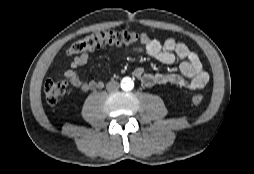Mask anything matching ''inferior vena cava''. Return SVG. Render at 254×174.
Instances as JSON below:
<instances>
[{
  "mask_svg": "<svg viewBox=\"0 0 254 174\" xmlns=\"http://www.w3.org/2000/svg\"><path fill=\"white\" fill-rule=\"evenodd\" d=\"M108 91H115L119 89V83L117 81H110L106 85Z\"/></svg>",
  "mask_w": 254,
  "mask_h": 174,
  "instance_id": "inferior-vena-cava-1",
  "label": "inferior vena cava"
}]
</instances>
